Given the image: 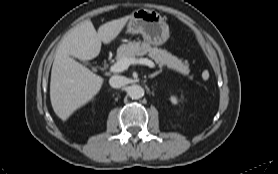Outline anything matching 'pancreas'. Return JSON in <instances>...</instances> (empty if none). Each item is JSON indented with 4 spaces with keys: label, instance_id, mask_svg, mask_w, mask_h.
Segmentation results:
<instances>
[{
    "label": "pancreas",
    "instance_id": "cf45deb5",
    "mask_svg": "<svg viewBox=\"0 0 278 174\" xmlns=\"http://www.w3.org/2000/svg\"><path fill=\"white\" fill-rule=\"evenodd\" d=\"M146 54L152 58L160 68L167 66L183 75H189V65L186 61L184 62L178 59L166 50L152 47L145 41H133L122 44L117 50L116 60L119 61L124 58L131 59L135 56H143Z\"/></svg>",
    "mask_w": 278,
    "mask_h": 174
}]
</instances>
